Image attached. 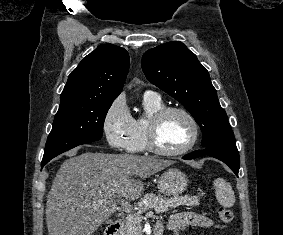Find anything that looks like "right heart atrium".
Instances as JSON below:
<instances>
[{"instance_id": "1", "label": "right heart atrium", "mask_w": 283, "mask_h": 235, "mask_svg": "<svg viewBox=\"0 0 283 235\" xmlns=\"http://www.w3.org/2000/svg\"><path fill=\"white\" fill-rule=\"evenodd\" d=\"M132 123L125 98L117 97L108 107L103 118V131L108 144L115 149H125Z\"/></svg>"}]
</instances>
